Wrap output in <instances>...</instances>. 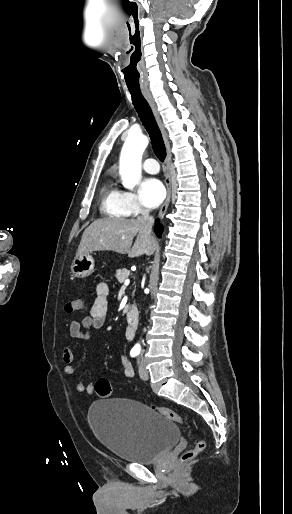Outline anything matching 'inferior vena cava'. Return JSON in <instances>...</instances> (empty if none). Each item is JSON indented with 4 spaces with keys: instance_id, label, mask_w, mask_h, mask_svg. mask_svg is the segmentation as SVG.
Masks as SVG:
<instances>
[{
    "instance_id": "1",
    "label": "inferior vena cava",
    "mask_w": 292,
    "mask_h": 514,
    "mask_svg": "<svg viewBox=\"0 0 292 514\" xmlns=\"http://www.w3.org/2000/svg\"><path fill=\"white\" fill-rule=\"evenodd\" d=\"M142 216V220H143V224L145 226V230L147 232V236H150L151 232H152V226L154 224V218H152V216H149V210H143V212H141Z\"/></svg>"
}]
</instances>
